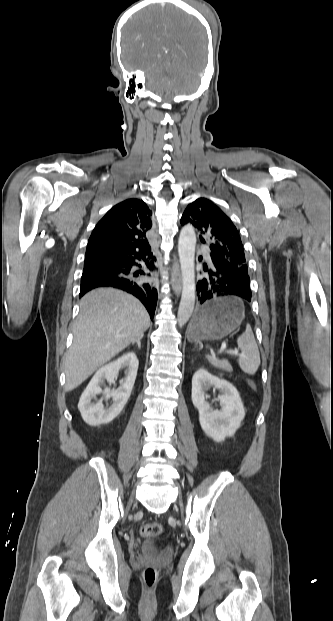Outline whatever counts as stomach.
<instances>
[{"mask_svg": "<svg viewBox=\"0 0 333 621\" xmlns=\"http://www.w3.org/2000/svg\"><path fill=\"white\" fill-rule=\"evenodd\" d=\"M243 317V305L238 298L211 300L197 311L188 328V339L191 342L222 339L241 324Z\"/></svg>", "mask_w": 333, "mask_h": 621, "instance_id": "0dacf381", "label": "stomach"}]
</instances>
